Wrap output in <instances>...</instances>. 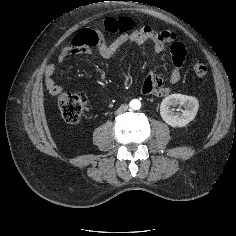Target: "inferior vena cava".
<instances>
[{
	"mask_svg": "<svg viewBox=\"0 0 236 236\" xmlns=\"http://www.w3.org/2000/svg\"><path fill=\"white\" fill-rule=\"evenodd\" d=\"M128 109V105L122 104L117 110L116 114H122Z\"/></svg>",
	"mask_w": 236,
	"mask_h": 236,
	"instance_id": "602c4592",
	"label": "inferior vena cava"
}]
</instances>
